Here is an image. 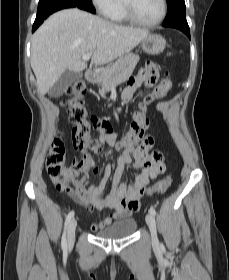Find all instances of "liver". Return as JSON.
<instances>
[{
	"label": "liver",
	"mask_w": 229,
	"mask_h": 280,
	"mask_svg": "<svg viewBox=\"0 0 229 280\" xmlns=\"http://www.w3.org/2000/svg\"><path fill=\"white\" fill-rule=\"evenodd\" d=\"M148 35L146 29L116 25L77 8L54 13L32 38L31 67L38 92L45 95L66 70L86 69L84 54L93 53L92 63L104 65L129 53Z\"/></svg>",
	"instance_id": "1"
}]
</instances>
